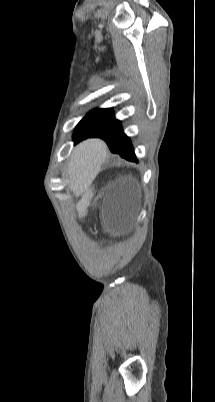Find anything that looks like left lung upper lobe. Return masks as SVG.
I'll use <instances>...</instances> for the list:
<instances>
[{"mask_svg": "<svg viewBox=\"0 0 215 402\" xmlns=\"http://www.w3.org/2000/svg\"><path fill=\"white\" fill-rule=\"evenodd\" d=\"M114 118V114L109 108L92 110L76 126L73 140L92 134Z\"/></svg>", "mask_w": 215, "mask_h": 402, "instance_id": "5c2ea615", "label": "left lung upper lobe"}]
</instances>
